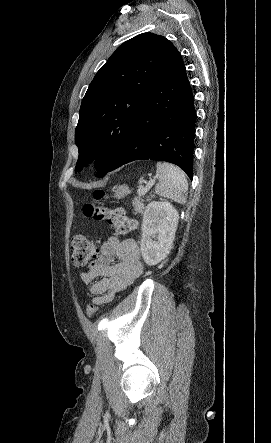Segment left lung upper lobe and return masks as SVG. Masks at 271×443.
<instances>
[{
  "label": "left lung upper lobe",
  "instance_id": "5c2ea615",
  "mask_svg": "<svg viewBox=\"0 0 271 443\" xmlns=\"http://www.w3.org/2000/svg\"><path fill=\"white\" fill-rule=\"evenodd\" d=\"M176 52L163 36L143 33L110 56L81 103L75 129L79 149L75 171L96 158V176L109 172L136 115L145 107L149 86Z\"/></svg>",
  "mask_w": 271,
  "mask_h": 443
}]
</instances>
